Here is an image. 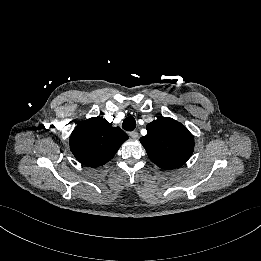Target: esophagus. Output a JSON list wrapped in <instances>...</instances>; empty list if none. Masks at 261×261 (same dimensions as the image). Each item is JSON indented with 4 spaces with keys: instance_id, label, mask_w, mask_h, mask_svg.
<instances>
[{
    "instance_id": "esophagus-1",
    "label": "esophagus",
    "mask_w": 261,
    "mask_h": 261,
    "mask_svg": "<svg viewBox=\"0 0 261 261\" xmlns=\"http://www.w3.org/2000/svg\"><path fill=\"white\" fill-rule=\"evenodd\" d=\"M129 136L133 139H137L139 137V133L137 131L129 132Z\"/></svg>"
}]
</instances>
